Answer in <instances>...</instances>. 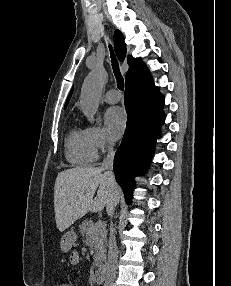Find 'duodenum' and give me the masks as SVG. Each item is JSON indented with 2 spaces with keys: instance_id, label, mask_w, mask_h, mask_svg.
Returning a JSON list of instances; mask_svg holds the SVG:
<instances>
[{
  "instance_id": "410a0bca",
  "label": "duodenum",
  "mask_w": 231,
  "mask_h": 286,
  "mask_svg": "<svg viewBox=\"0 0 231 286\" xmlns=\"http://www.w3.org/2000/svg\"><path fill=\"white\" fill-rule=\"evenodd\" d=\"M94 276H95V280L98 283H103L105 280V268L103 266L98 267L95 271Z\"/></svg>"
}]
</instances>
